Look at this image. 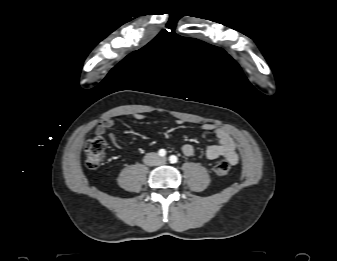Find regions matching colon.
<instances>
[{"instance_id": "1", "label": "colon", "mask_w": 337, "mask_h": 261, "mask_svg": "<svg viewBox=\"0 0 337 261\" xmlns=\"http://www.w3.org/2000/svg\"><path fill=\"white\" fill-rule=\"evenodd\" d=\"M107 155L106 141L102 137H95L90 139L85 146V162L88 168H98L104 158ZM213 170L218 176H226L231 170V166L228 161L217 162Z\"/></svg>"}]
</instances>
